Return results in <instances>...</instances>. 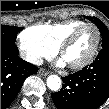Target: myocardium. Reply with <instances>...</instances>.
Segmentation results:
<instances>
[{"label": "myocardium", "instance_id": "myocardium-1", "mask_svg": "<svg viewBox=\"0 0 109 109\" xmlns=\"http://www.w3.org/2000/svg\"><path fill=\"white\" fill-rule=\"evenodd\" d=\"M87 27H93L96 30L97 33V40L96 43L94 45L93 50L91 51V53L89 54L88 57H86L83 61L77 63V64H68V66L73 69V70H80L85 68L86 66H88L89 64L92 63V61L94 60V58L96 57L98 50L100 48V43H101V31L99 29V27L93 23H85L77 28H75L65 39L64 41L59 45V53L61 54V56L64 55L65 51L74 44V42L76 41L77 37L79 36V34Z\"/></svg>", "mask_w": 109, "mask_h": 109}]
</instances>
